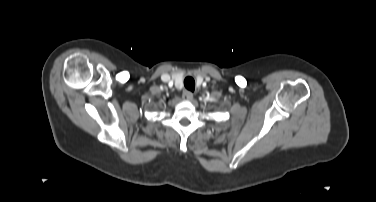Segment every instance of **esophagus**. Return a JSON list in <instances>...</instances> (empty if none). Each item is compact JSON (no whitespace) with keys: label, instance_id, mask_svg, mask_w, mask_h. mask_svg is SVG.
Segmentation results:
<instances>
[{"label":"esophagus","instance_id":"1","mask_svg":"<svg viewBox=\"0 0 376 202\" xmlns=\"http://www.w3.org/2000/svg\"><path fill=\"white\" fill-rule=\"evenodd\" d=\"M182 99L185 101H191L193 99V93L190 91H184L182 95Z\"/></svg>","mask_w":376,"mask_h":202}]
</instances>
